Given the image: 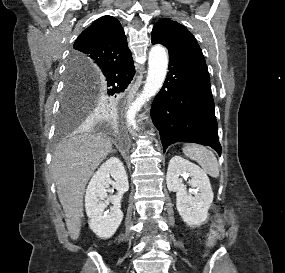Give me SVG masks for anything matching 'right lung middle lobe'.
I'll return each instance as SVG.
<instances>
[{"instance_id":"right-lung-middle-lobe-1","label":"right lung middle lobe","mask_w":285,"mask_h":273,"mask_svg":"<svg viewBox=\"0 0 285 273\" xmlns=\"http://www.w3.org/2000/svg\"><path fill=\"white\" fill-rule=\"evenodd\" d=\"M88 80L71 69L67 70L58 122L60 130H66L85 118L97 105L116 104L117 94L109 96L89 85Z\"/></svg>"}]
</instances>
